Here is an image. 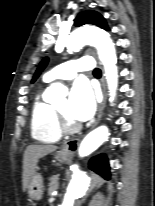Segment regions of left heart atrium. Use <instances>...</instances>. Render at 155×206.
I'll list each match as a JSON object with an SVG mask.
<instances>
[{
  "label": "left heart atrium",
  "mask_w": 155,
  "mask_h": 206,
  "mask_svg": "<svg viewBox=\"0 0 155 206\" xmlns=\"http://www.w3.org/2000/svg\"><path fill=\"white\" fill-rule=\"evenodd\" d=\"M95 111L94 94L84 80H79L73 85L67 101V114L75 121L88 120Z\"/></svg>",
  "instance_id": "left-heart-atrium-1"
}]
</instances>
